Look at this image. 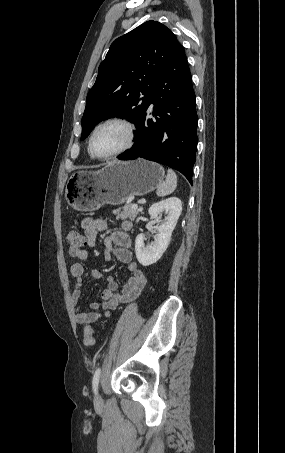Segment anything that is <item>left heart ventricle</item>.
Segmentation results:
<instances>
[{
    "instance_id": "1",
    "label": "left heart ventricle",
    "mask_w": 285,
    "mask_h": 453,
    "mask_svg": "<svg viewBox=\"0 0 285 453\" xmlns=\"http://www.w3.org/2000/svg\"><path fill=\"white\" fill-rule=\"evenodd\" d=\"M128 138L127 130L120 124H107L101 127L93 139V149L96 154L104 156L123 147Z\"/></svg>"
}]
</instances>
